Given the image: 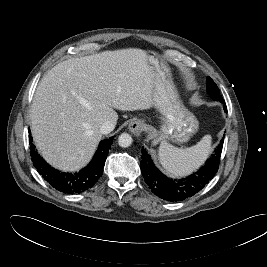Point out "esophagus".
I'll return each mask as SVG.
<instances>
[{
  "mask_svg": "<svg viewBox=\"0 0 267 267\" xmlns=\"http://www.w3.org/2000/svg\"><path fill=\"white\" fill-rule=\"evenodd\" d=\"M129 130L135 135H140L144 130V123L141 120H133L129 124Z\"/></svg>",
  "mask_w": 267,
  "mask_h": 267,
  "instance_id": "obj_1",
  "label": "esophagus"
}]
</instances>
